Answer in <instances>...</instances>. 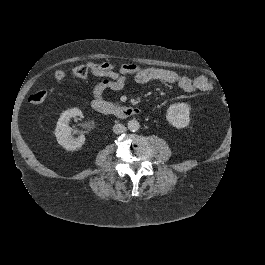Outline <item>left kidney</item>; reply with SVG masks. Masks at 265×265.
I'll return each instance as SVG.
<instances>
[{
    "instance_id": "left-kidney-1",
    "label": "left kidney",
    "mask_w": 265,
    "mask_h": 265,
    "mask_svg": "<svg viewBox=\"0 0 265 265\" xmlns=\"http://www.w3.org/2000/svg\"><path fill=\"white\" fill-rule=\"evenodd\" d=\"M190 107L186 103H176L170 105L167 109L166 119L167 121L176 128H184L188 126Z\"/></svg>"
}]
</instances>
